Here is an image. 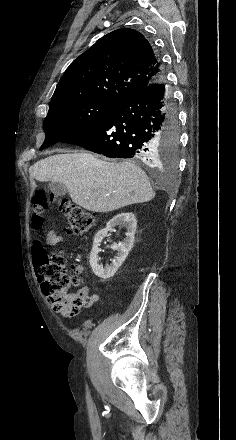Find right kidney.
<instances>
[{"label":"right kidney","mask_w":236,"mask_h":440,"mask_svg":"<svg viewBox=\"0 0 236 440\" xmlns=\"http://www.w3.org/2000/svg\"><path fill=\"white\" fill-rule=\"evenodd\" d=\"M122 224L126 227V238L123 242L113 243L111 248L117 251L115 259H113L110 265L103 267L98 263V253L100 252L99 246L103 238L108 236V232L116 225ZM137 221L135 215L131 212L120 213L114 216L106 225V228L97 232L94 238L92 250L90 252V266L96 276L101 279H109L112 277L127 258L134 243V235L136 232Z\"/></svg>","instance_id":"right-kidney-1"}]
</instances>
